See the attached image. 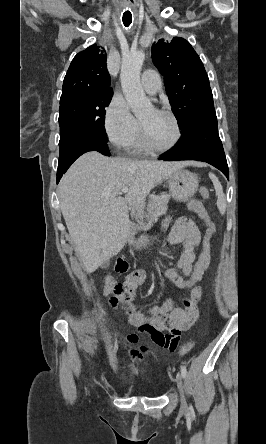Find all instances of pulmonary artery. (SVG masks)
<instances>
[{
  "instance_id": "e3ab8cb5",
  "label": "pulmonary artery",
  "mask_w": 266,
  "mask_h": 444,
  "mask_svg": "<svg viewBox=\"0 0 266 444\" xmlns=\"http://www.w3.org/2000/svg\"><path fill=\"white\" fill-rule=\"evenodd\" d=\"M141 85L148 94H156L162 87L159 73L153 69L144 71L141 77Z\"/></svg>"
}]
</instances>
